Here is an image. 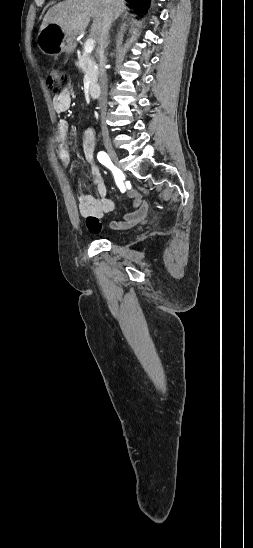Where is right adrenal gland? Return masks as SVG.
I'll return each instance as SVG.
<instances>
[{"label":"right adrenal gland","mask_w":253,"mask_h":548,"mask_svg":"<svg viewBox=\"0 0 253 548\" xmlns=\"http://www.w3.org/2000/svg\"><path fill=\"white\" fill-rule=\"evenodd\" d=\"M108 44H109V40L107 41V46H108Z\"/></svg>","instance_id":"1"}]
</instances>
